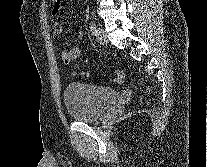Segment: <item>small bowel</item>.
Instances as JSON below:
<instances>
[{
    "label": "small bowel",
    "mask_w": 207,
    "mask_h": 167,
    "mask_svg": "<svg viewBox=\"0 0 207 167\" xmlns=\"http://www.w3.org/2000/svg\"><path fill=\"white\" fill-rule=\"evenodd\" d=\"M61 3L62 0H53V10H52V14H53V21H52V27L54 29V32L57 35H60L62 33V26L60 24V22L57 20V15L61 9ZM79 37L82 36V33L80 32ZM83 54V50L75 47V48H71V49H63L61 52V58L63 60V62L68 65L70 64L72 61L80 58Z\"/></svg>",
    "instance_id": "1"
}]
</instances>
